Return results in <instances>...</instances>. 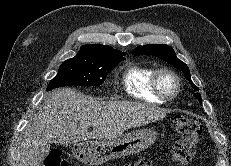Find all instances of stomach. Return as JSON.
<instances>
[{"mask_svg": "<svg viewBox=\"0 0 231 166\" xmlns=\"http://www.w3.org/2000/svg\"><path fill=\"white\" fill-rule=\"evenodd\" d=\"M152 129L132 131L115 139L84 140L73 144L72 154L88 166H97L108 160L139 154L156 140Z\"/></svg>", "mask_w": 231, "mask_h": 166, "instance_id": "obj_1", "label": "stomach"}]
</instances>
